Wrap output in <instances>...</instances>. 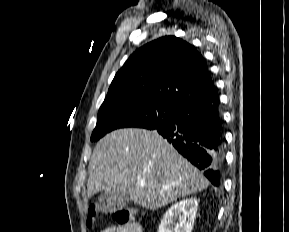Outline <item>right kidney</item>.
Masks as SVG:
<instances>
[{
    "label": "right kidney",
    "mask_w": 289,
    "mask_h": 232,
    "mask_svg": "<svg viewBox=\"0 0 289 232\" xmlns=\"http://www.w3.org/2000/svg\"><path fill=\"white\" fill-rule=\"evenodd\" d=\"M198 200L184 199L172 205L164 214L158 232H191L194 226Z\"/></svg>",
    "instance_id": "1"
}]
</instances>
